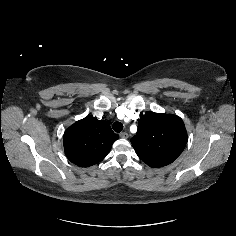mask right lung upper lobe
<instances>
[{
	"label": "right lung upper lobe",
	"instance_id": "right-lung-upper-lobe-1",
	"mask_svg": "<svg viewBox=\"0 0 236 236\" xmlns=\"http://www.w3.org/2000/svg\"><path fill=\"white\" fill-rule=\"evenodd\" d=\"M117 139L107 121L87 116L65 131L63 144L71 162L88 167L104 159Z\"/></svg>",
	"mask_w": 236,
	"mask_h": 236
}]
</instances>
